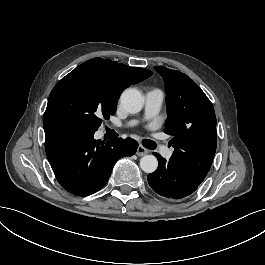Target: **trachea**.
Masks as SVG:
<instances>
[{
	"mask_svg": "<svg viewBox=\"0 0 265 265\" xmlns=\"http://www.w3.org/2000/svg\"><path fill=\"white\" fill-rule=\"evenodd\" d=\"M143 145L150 148V149H154L156 147V143L154 141H151V140H143L142 141Z\"/></svg>",
	"mask_w": 265,
	"mask_h": 265,
	"instance_id": "3493384b",
	"label": "trachea"
}]
</instances>
